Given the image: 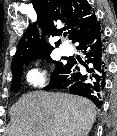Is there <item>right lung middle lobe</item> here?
Masks as SVG:
<instances>
[{"label": "right lung middle lobe", "instance_id": "dd1d6c3e", "mask_svg": "<svg viewBox=\"0 0 117 136\" xmlns=\"http://www.w3.org/2000/svg\"><path fill=\"white\" fill-rule=\"evenodd\" d=\"M47 61L55 63V69H54V72L52 73L51 77H53L60 70V68L64 65L62 62H59V61H52V59L50 57L47 58ZM28 63H30V62H28ZM23 65L24 64H22L12 70L13 80H12V85H11L10 90L13 92H17L20 89V83H21L20 78L22 75V66Z\"/></svg>", "mask_w": 117, "mask_h": 136}]
</instances>
